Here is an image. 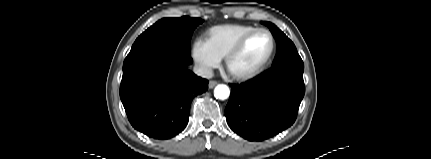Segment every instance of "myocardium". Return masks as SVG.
<instances>
[{
	"label": "myocardium",
	"instance_id": "myocardium-1",
	"mask_svg": "<svg viewBox=\"0 0 431 159\" xmlns=\"http://www.w3.org/2000/svg\"><path fill=\"white\" fill-rule=\"evenodd\" d=\"M259 33H265L267 34L272 41V49L271 52L269 54V56L267 57V59L264 61L263 64H261L259 67H257L256 69L246 72V73H242V74H234L230 71V65L232 63V61L243 51V49L245 48L247 42L255 35L259 34ZM276 50H277V42L276 39L273 35V33L271 31H269L268 29H264V28H257L247 34H245L236 44L235 46L228 52V54L225 57V67L227 72L229 73V75L237 80V81H247L250 79H253L257 76H259L260 74H262L272 63L275 54H276Z\"/></svg>",
	"mask_w": 431,
	"mask_h": 159
}]
</instances>
